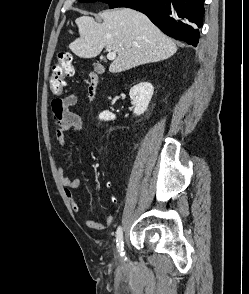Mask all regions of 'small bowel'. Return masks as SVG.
<instances>
[{"label": "small bowel", "mask_w": 249, "mask_h": 294, "mask_svg": "<svg viewBox=\"0 0 249 294\" xmlns=\"http://www.w3.org/2000/svg\"><path fill=\"white\" fill-rule=\"evenodd\" d=\"M78 102V96L70 93L63 98L52 101V115L57 122L56 141L59 149L65 146V137L67 135L77 136L84 131L82 118L77 113L70 110ZM57 173L59 180L64 188V194L70 202L73 212L79 213L81 210L80 203L76 200L74 190L78 187L77 178L68 176L61 166H58ZM114 221V216L108 214L104 222H98L93 219H87L86 225L93 230H103L109 227Z\"/></svg>", "instance_id": "c3829d8e"}]
</instances>
